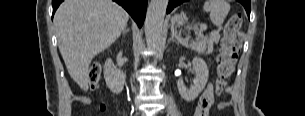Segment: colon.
<instances>
[{
  "label": "colon",
  "mask_w": 305,
  "mask_h": 116,
  "mask_svg": "<svg viewBox=\"0 0 305 116\" xmlns=\"http://www.w3.org/2000/svg\"><path fill=\"white\" fill-rule=\"evenodd\" d=\"M242 24L239 14L230 17L224 28L220 53L217 57V78L215 81V93L221 95L227 86V81L234 72L239 54L238 31ZM102 68L99 64H93L88 73L89 87L96 90L101 79Z\"/></svg>",
  "instance_id": "1"
}]
</instances>
